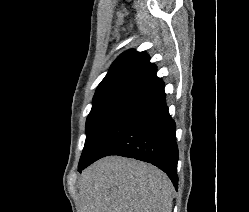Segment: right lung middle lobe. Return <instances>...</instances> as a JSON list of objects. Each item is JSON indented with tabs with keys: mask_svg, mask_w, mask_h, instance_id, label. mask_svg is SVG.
I'll list each match as a JSON object with an SVG mask.
<instances>
[{
	"mask_svg": "<svg viewBox=\"0 0 249 212\" xmlns=\"http://www.w3.org/2000/svg\"><path fill=\"white\" fill-rule=\"evenodd\" d=\"M137 97L130 93H112L93 99L86 121V140L79 166L88 158L108 126Z\"/></svg>",
	"mask_w": 249,
	"mask_h": 212,
	"instance_id": "obj_1",
	"label": "right lung middle lobe"
}]
</instances>
